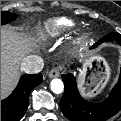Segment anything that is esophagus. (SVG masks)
<instances>
[{"mask_svg":"<svg viewBox=\"0 0 121 121\" xmlns=\"http://www.w3.org/2000/svg\"><path fill=\"white\" fill-rule=\"evenodd\" d=\"M49 78H57L60 76V69L59 68H53L49 72Z\"/></svg>","mask_w":121,"mask_h":121,"instance_id":"obj_1","label":"esophagus"}]
</instances>
